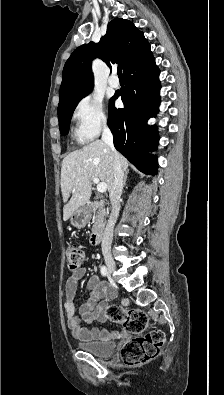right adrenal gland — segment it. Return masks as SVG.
Returning a JSON list of instances; mask_svg holds the SVG:
<instances>
[{"label": "right adrenal gland", "mask_w": 224, "mask_h": 395, "mask_svg": "<svg viewBox=\"0 0 224 395\" xmlns=\"http://www.w3.org/2000/svg\"><path fill=\"white\" fill-rule=\"evenodd\" d=\"M127 178H128V175L126 174L125 177H124V181H123V187L126 186Z\"/></svg>", "instance_id": "2a0ac1e0"}]
</instances>
